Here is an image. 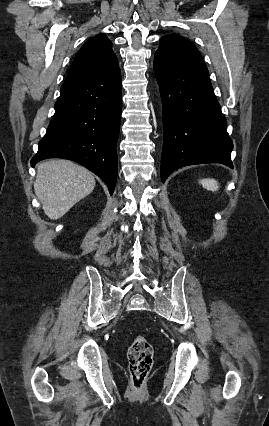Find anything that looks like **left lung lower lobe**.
<instances>
[{
    "label": "left lung lower lobe",
    "mask_w": 269,
    "mask_h": 426,
    "mask_svg": "<svg viewBox=\"0 0 269 426\" xmlns=\"http://www.w3.org/2000/svg\"><path fill=\"white\" fill-rule=\"evenodd\" d=\"M153 68L163 102L162 182L188 165L221 163L233 168L226 118L195 45L162 37Z\"/></svg>",
    "instance_id": "obj_1"
}]
</instances>
